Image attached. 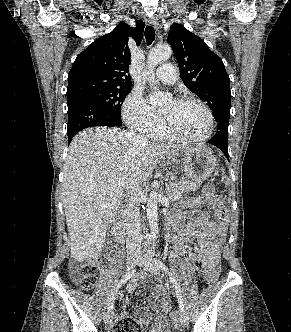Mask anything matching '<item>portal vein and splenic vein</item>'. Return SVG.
Wrapping results in <instances>:
<instances>
[{"instance_id":"1","label":"portal vein and splenic vein","mask_w":291,"mask_h":332,"mask_svg":"<svg viewBox=\"0 0 291 332\" xmlns=\"http://www.w3.org/2000/svg\"><path fill=\"white\" fill-rule=\"evenodd\" d=\"M181 194H179V195H177V197L175 196V197H173V198H171L172 200L174 199V200H177L178 199V196H180Z\"/></svg>"}]
</instances>
